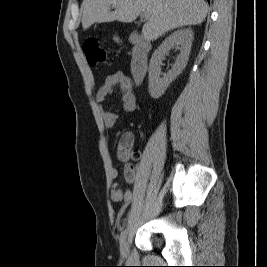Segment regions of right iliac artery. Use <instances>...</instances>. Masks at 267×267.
<instances>
[{
    "label": "right iliac artery",
    "instance_id": "right-iliac-artery-1",
    "mask_svg": "<svg viewBox=\"0 0 267 267\" xmlns=\"http://www.w3.org/2000/svg\"><path fill=\"white\" fill-rule=\"evenodd\" d=\"M126 235H127V230L125 229V230H123L122 232H121V241L122 240H124L125 238H126Z\"/></svg>",
    "mask_w": 267,
    "mask_h": 267
}]
</instances>
